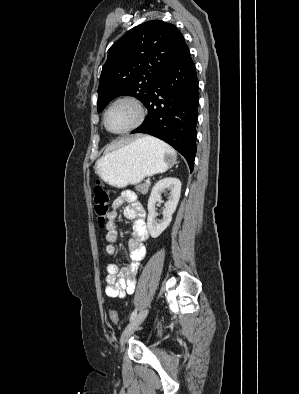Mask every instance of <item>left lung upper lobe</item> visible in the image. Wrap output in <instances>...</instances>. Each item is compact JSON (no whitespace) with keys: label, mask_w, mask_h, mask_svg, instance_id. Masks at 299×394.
<instances>
[{"label":"left lung upper lobe","mask_w":299,"mask_h":394,"mask_svg":"<svg viewBox=\"0 0 299 394\" xmlns=\"http://www.w3.org/2000/svg\"><path fill=\"white\" fill-rule=\"evenodd\" d=\"M186 46L181 32L161 20L128 31L108 50L98 88V111L121 95L146 104L159 76Z\"/></svg>","instance_id":"1"}]
</instances>
